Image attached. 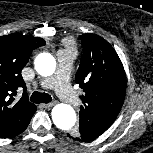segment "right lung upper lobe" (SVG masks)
I'll return each mask as SVG.
<instances>
[{"mask_svg":"<svg viewBox=\"0 0 153 153\" xmlns=\"http://www.w3.org/2000/svg\"><path fill=\"white\" fill-rule=\"evenodd\" d=\"M43 45L41 38L18 33L0 37V138L13 133L36 110L28 100L21 71L32 51ZM21 88L23 96L15 99Z\"/></svg>","mask_w":153,"mask_h":153,"instance_id":"1","label":"right lung upper lobe"}]
</instances>
